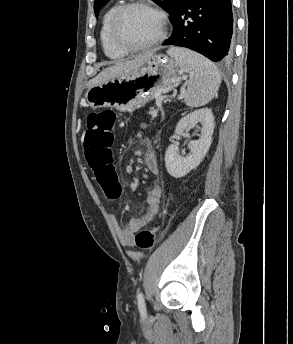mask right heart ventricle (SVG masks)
I'll list each match as a JSON object with an SVG mask.
<instances>
[{
	"instance_id": "1",
	"label": "right heart ventricle",
	"mask_w": 293,
	"mask_h": 344,
	"mask_svg": "<svg viewBox=\"0 0 293 344\" xmlns=\"http://www.w3.org/2000/svg\"><path fill=\"white\" fill-rule=\"evenodd\" d=\"M120 4L110 6L104 13L100 27V42L104 54L111 60H121L128 55V52L119 49L114 45L110 35V25L112 17Z\"/></svg>"
}]
</instances>
